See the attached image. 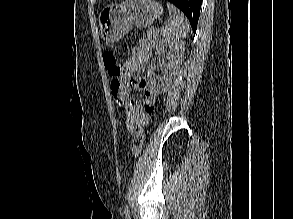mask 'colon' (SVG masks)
Returning a JSON list of instances; mask_svg holds the SVG:
<instances>
[{
  "label": "colon",
  "mask_w": 293,
  "mask_h": 219,
  "mask_svg": "<svg viewBox=\"0 0 293 219\" xmlns=\"http://www.w3.org/2000/svg\"><path fill=\"white\" fill-rule=\"evenodd\" d=\"M103 62L104 66L108 72V74L112 77H114L112 81V88L114 90L118 89V82L116 78L119 76L121 72V66L120 63L116 57V55L113 52L107 51L103 54ZM147 111L149 113L154 112L153 107H148ZM143 142H144V136L142 134H137L134 139L132 140L131 144V151L132 155L134 157H138L141 153L142 147H143Z\"/></svg>",
  "instance_id": "5ec220e1"
}]
</instances>
